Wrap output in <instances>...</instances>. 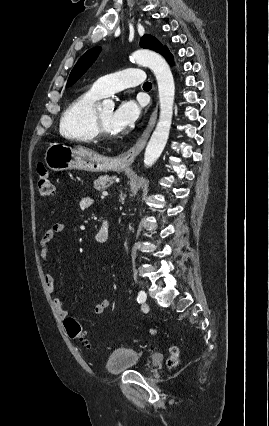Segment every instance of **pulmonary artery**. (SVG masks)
<instances>
[{
	"label": "pulmonary artery",
	"instance_id": "1",
	"mask_svg": "<svg viewBox=\"0 0 269 426\" xmlns=\"http://www.w3.org/2000/svg\"><path fill=\"white\" fill-rule=\"evenodd\" d=\"M145 80V73L140 68H128L99 78L92 85V90L101 97L118 92L124 88L136 86Z\"/></svg>",
	"mask_w": 269,
	"mask_h": 426
}]
</instances>
